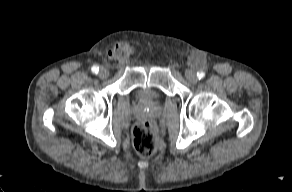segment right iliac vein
Instances as JSON below:
<instances>
[{"label": "right iliac vein", "instance_id": "1", "mask_svg": "<svg viewBox=\"0 0 292 192\" xmlns=\"http://www.w3.org/2000/svg\"><path fill=\"white\" fill-rule=\"evenodd\" d=\"M109 76V71L105 68H101L100 71H99V77L101 79H105Z\"/></svg>", "mask_w": 292, "mask_h": 192}]
</instances>
